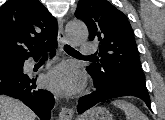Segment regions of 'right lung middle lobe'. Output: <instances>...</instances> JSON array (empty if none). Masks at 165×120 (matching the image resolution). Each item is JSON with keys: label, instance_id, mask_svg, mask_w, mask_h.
<instances>
[{"label": "right lung middle lobe", "instance_id": "1", "mask_svg": "<svg viewBox=\"0 0 165 120\" xmlns=\"http://www.w3.org/2000/svg\"><path fill=\"white\" fill-rule=\"evenodd\" d=\"M17 62H9V63H0V69H9L15 67Z\"/></svg>", "mask_w": 165, "mask_h": 120}]
</instances>
